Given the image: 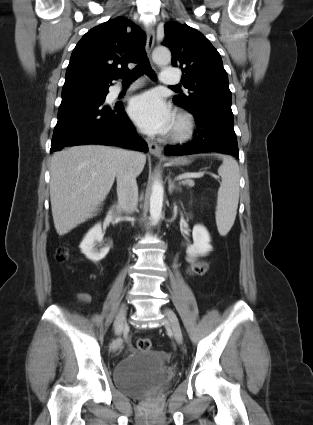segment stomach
<instances>
[{"label": "stomach", "mask_w": 313, "mask_h": 425, "mask_svg": "<svg viewBox=\"0 0 313 425\" xmlns=\"http://www.w3.org/2000/svg\"><path fill=\"white\" fill-rule=\"evenodd\" d=\"M176 165H187L190 161L185 157L174 158L171 160Z\"/></svg>", "instance_id": "obj_1"}]
</instances>
